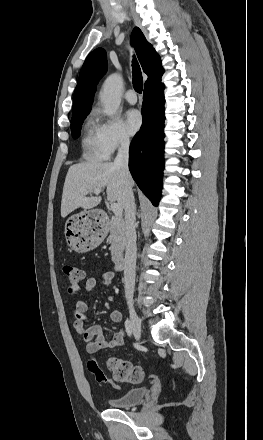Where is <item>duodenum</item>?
Instances as JSON below:
<instances>
[{
	"instance_id": "410a0bca",
	"label": "duodenum",
	"mask_w": 263,
	"mask_h": 440,
	"mask_svg": "<svg viewBox=\"0 0 263 440\" xmlns=\"http://www.w3.org/2000/svg\"><path fill=\"white\" fill-rule=\"evenodd\" d=\"M97 219L98 221H101L99 217ZM124 266H125V257L122 255L117 259L115 263V269L116 271H122L124 269Z\"/></svg>"
}]
</instances>
